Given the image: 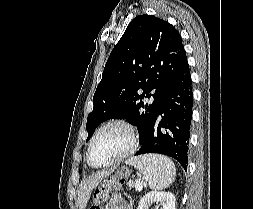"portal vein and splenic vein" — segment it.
<instances>
[{"mask_svg": "<svg viewBox=\"0 0 253 209\" xmlns=\"http://www.w3.org/2000/svg\"><path fill=\"white\" fill-rule=\"evenodd\" d=\"M142 186H143V182L140 179H138L136 181V190L141 191L142 190Z\"/></svg>", "mask_w": 253, "mask_h": 209, "instance_id": "obj_1", "label": "portal vein and splenic vein"}]
</instances>
